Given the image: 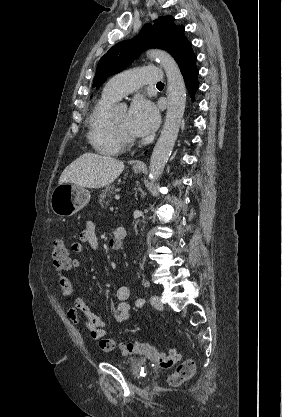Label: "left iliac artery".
Masks as SVG:
<instances>
[{
  "mask_svg": "<svg viewBox=\"0 0 282 417\" xmlns=\"http://www.w3.org/2000/svg\"><path fill=\"white\" fill-rule=\"evenodd\" d=\"M144 303H145L144 299H141V298L137 299L136 306L141 307V306H143Z\"/></svg>",
  "mask_w": 282,
  "mask_h": 417,
  "instance_id": "1",
  "label": "left iliac artery"
}]
</instances>
